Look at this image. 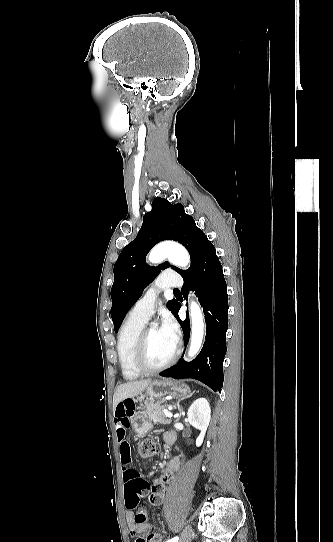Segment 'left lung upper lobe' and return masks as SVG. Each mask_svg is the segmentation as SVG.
<instances>
[{
    "instance_id": "left-lung-upper-lobe-1",
    "label": "left lung upper lobe",
    "mask_w": 333,
    "mask_h": 542,
    "mask_svg": "<svg viewBox=\"0 0 333 542\" xmlns=\"http://www.w3.org/2000/svg\"><path fill=\"white\" fill-rule=\"evenodd\" d=\"M163 240H175L186 247L191 257L188 270H181L168 262L158 267H151L146 263L148 252ZM207 241V236L196 226L194 219L185 213L182 204H171L164 198H155L152 210L143 217V225L137 237L122 250L114 265L111 317L115 332L118 331L126 312L160 270L171 267L182 277L185 276L196 266ZM176 306L175 299L167 303L168 309L174 315Z\"/></svg>"
}]
</instances>
